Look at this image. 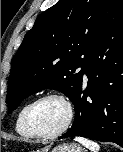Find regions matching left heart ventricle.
<instances>
[{"instance_id":"obj_1","label":"left heart ventricle","mask_w":123,"mask_h":152,"mask_svg":"<svg viewBox=\"0 0 123 152\" xmlns=\"http://www.w3.org/2000/svg\"><path fill=\"white\" fill-rule=\"evenodd\" d=\"M66 118L67 109L64 103L57 99H48L34 108L31 122L41 133H53L63 126Z\"/></svg>"}]
</instances>
